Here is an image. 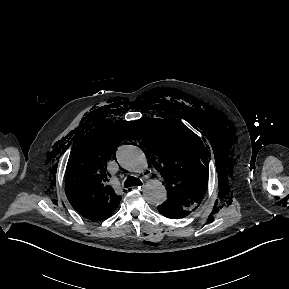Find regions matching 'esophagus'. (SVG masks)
Here are the masks:
<instances>
[{
	"label": "esophagus",
	"instance_id": "34e87169",
	"mask_svg": "<svg viewBox=\"0 0 289 289\" xmlns=\"http://www.w3.org/2000/svg\"><path fill=\"white\" fill-rule=\"evenodd\" d=\"M144 187V185H140V186H136V187H133V188H138L139 190L141 189V188H143Z\"/></svg>",
	"mask_w": 289,
	"mask_h": 289
}]
</instances>
